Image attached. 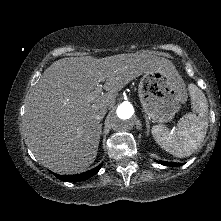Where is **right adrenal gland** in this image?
Returning a JSON list of instances; mask_svg holds the SVG:
<instances>
[{"instance_id":"2a0ac1e0","label":"right adrenal gland","mask_w":221,"mask_h":221,"mask_svg":"<svg viewBox=\"0 0 221 221\" xmlns=\"http://www.w3.org/2000/svg\"><path fill=\"white\" fill-rule=\"evenodd\" d=\"M100 134H102V124H100Z\"/></svg>"}]
</instances>
